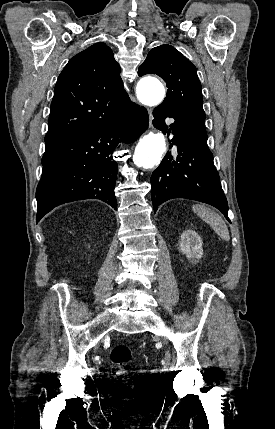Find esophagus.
Wrapping results in <instances>:
<instances>
[{
	"instance_id": "1",
	"label": "esophagus",
	"mask_w": 275,
	"mask_h": 429,
	"mask_svg": "<svg viewBox=\"0 0 275 429\" xmlns=\"http://www.w3.org/2000/svg\"><path fill=\"white\" fill-rule=\"evenodd\" d=\"M148 113H149V125L151 127L152 126V111L150 109H148Z\"/></svg>"
}]
</instances>
